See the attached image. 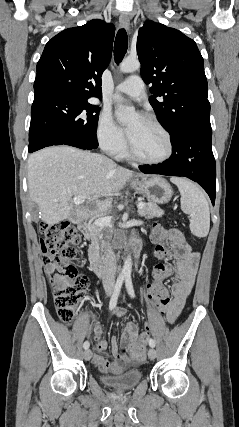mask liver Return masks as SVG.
<instances>
[{"label":"liver","instance_id":"1","mask_svg":"<svg viewBox=\"0 0 239 427\" xmlns=\"http://www.w3.org/2000/svg\"><path fill=\"white\" fill-rule=\"evenodd\" d=\"M133 175L101 154L70 146L44 148L28 158L29 195L49 225L101 217ZM73 196H84L94 207L81 205L85 200L74 203Z\"/></svg>","mask_w":239,"mask_h":427}]
</instances>
